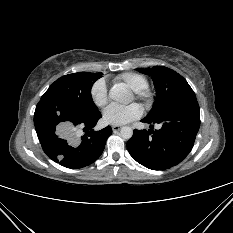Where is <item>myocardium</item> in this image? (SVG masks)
<instances>
[{
	"mask_svg": "<svg viewBox=\"0 0 233 233\" xmlns=\"http://www.w3.org/2000/svg\"><path fill=\"white\" fill-rule=\"evenodd\" d=\"M134 92H135V96L138 99H140L146 103H148L153 97V93L151 92V90L148 87L141 89L139 91H134Z\"/></svg>",
	"mask_w": 233,
	"mask_h": 233,
	"instance_id": "f54148a6",
	"label": "myocardium"
}]
</instances>
